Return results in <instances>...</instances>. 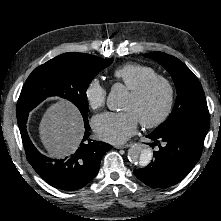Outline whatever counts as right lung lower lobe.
<instances>
[{
    "mask_svg": "<svg viewBox=\"0 0 221 221\" xmlns=\"http://www.w3.org/2000/svg\"><path fill=\"white\" fill-rule=\"evenodd\" d=\"M27 118L28 113L18 119V125L27 159L34 170L48 184L64 191L78 190L90 183L98 173L103 155L112 146L88 138V120L84 121L86 132L77 151L64 159H50L32 144L26 130Z\"/></svg>",
    "mask_w": 221,
    "mask_h": 221,
    "instance_id": "obj_1",
    "label": "right lung lower lobe"
}]
</instances>
